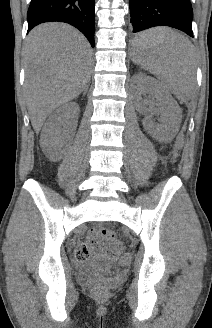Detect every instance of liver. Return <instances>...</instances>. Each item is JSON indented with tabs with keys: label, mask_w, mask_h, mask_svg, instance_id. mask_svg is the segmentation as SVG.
<instances>
[{
	"label": "liver",
	"mask_w": 212,
	"mask_h": 328,
	"mask_svg": "<svg viewBox=\"0 0 212 328\" xmlns=\"http://www.w3.org/2000/svg\"><path fill=\"white\" fill-rule=\"evenodd\" d=\"M91 55L87 39L70 25L45 23L29 33L24 55L25 96L36 133L54 109L87 87Z\"/></svg>",
	"instance_id": "6515ba94"
}]
</instances>
